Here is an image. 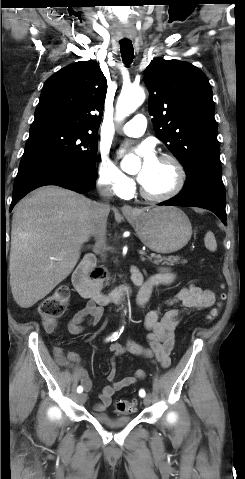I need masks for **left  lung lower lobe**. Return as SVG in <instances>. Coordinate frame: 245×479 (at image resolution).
Instances as JSON below:
<instances>
[{
    "instance_id": "1",
    "label": "left lung lower lobe",
    "mask_w": 245,
    "mask_h": 479,
    "mask_svg": "<svg viewBox=\"0 0 245 479\" xmlns=\"http://www.w3.org/2000/svg\"><path fill=\"white\" fill-rule=\"evenodd\" d=\"M219 161L204 162L187 173L182 191L159 206H187L205 208L215 213L226 225L225 187Z\"/></svg>"
}]
</instances>
